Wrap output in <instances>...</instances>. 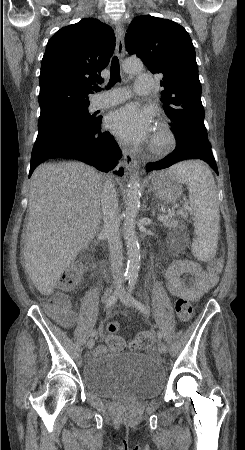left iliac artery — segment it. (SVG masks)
Returning <instances> with one entry per match:
<instances>
[{"label":"left iliac artery","mask_w":245,"mask_h":450,"mask_svg":"<svg viewBox=\"0 0 245 450\" xmlns=\"http://www.w3.org/2000/svg\"><path fill=\"white\" fill-rule=\"evenodd\" d=\"M136 282H137V277L131 276L129 279V282H128V291L130 294H132L134 292ZM133 302L138 310H140L144 314H148V311H147L146 307L143 305V303H141L140 301H138L134 298H133ZM157 335H158L159 339H162V334L160 332H158Z\"/></svg>","instance_id":"44dca946"}]
</instances>
